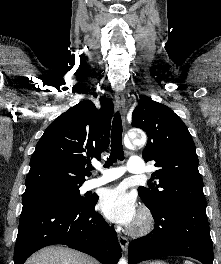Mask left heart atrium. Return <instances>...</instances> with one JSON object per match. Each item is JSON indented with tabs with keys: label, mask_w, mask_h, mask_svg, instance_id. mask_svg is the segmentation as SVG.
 I'll use <instances>...</instances> for the list:
<instances>
[{
	"label": "left heart atrium",
	"mask_w": 221,
	"mask_h": 264,
	"mask_svg": "<svg viewBox=\"0 0 221 264\" xmlns=\"http://www.w3.org/2000/svg\"><path fill=\"white\" fill-rule=\"evenodd\" d=\"M98 206L108 220L118 224L131 225L137 217L135 198L122 186L103 190Z\"/></svg>",
	"instance_id": "obj_1"
}]
</instances>
